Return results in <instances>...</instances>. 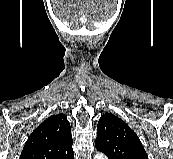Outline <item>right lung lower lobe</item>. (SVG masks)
I'll return each instance as SVG.
<instances>
[{
	"mask_svg": "<svg viewBox=\"0 0 173 159\" xmlns=\"http://www.w3.org/2000/svg\"><path fill=\"white\" fill-rule=\"evenodd\" d=\"M71 159H74V155L71 157Z\"/></svg>",
	"mask_w": 173,
	"mask_h": 159,
	"instance_id": "98d812e1",
	"label": "right lung lower lobe"
}]
</instances>
